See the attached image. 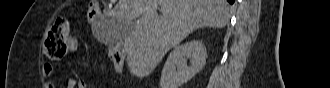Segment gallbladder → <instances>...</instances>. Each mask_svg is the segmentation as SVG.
Returning a JSON list of instances; mask_svg holds the SVG:
<instances>
[{
	"label": "gallbladder",
	"instance_id": "gallbladder-1",
	"mask_svg": "<svg viewBox=\"0 0 330 88\" xmlns=\"http://www.w3.org/2000/svg\"><path fill=\"white\" fill-rule=\"evenodd\" d=\"M133 21L117 23L111 18L105 21L103 27V41L108 44H115L124 39L128 32L133 28Z\"/></svg>",
	"mask_w": 330,
	"mask_h": 88
}]
</instances>
